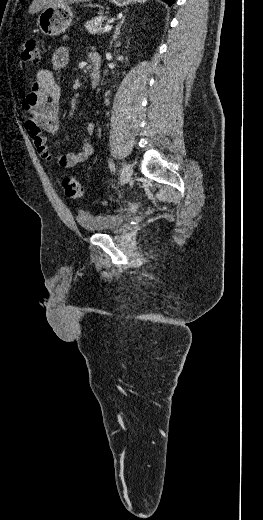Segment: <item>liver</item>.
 <instances>
[{"label":"liver","instance_id":"1","mask_svg":"<svg viewBox=\"0 0 263 520\" xmlns=\"http://www.w3.org/2000/svg\"><path fill=\"white\" fill-rule=\"evenodd\" d=\"M90 0H33L29 7V14L38 13L51 6H64L72 3L89 2Z\"/></svg>","mask_w":263,"mask_h":520}]
</instances>
